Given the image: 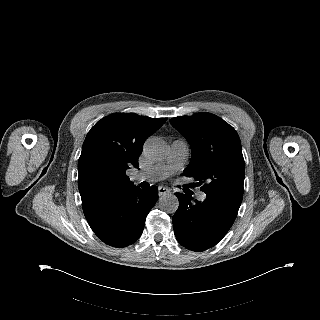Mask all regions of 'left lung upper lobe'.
<instances>
[{
    "label": "left lung upper lobe",
    "mask_w": 320,
    "mask_h": 320,
    "mask_svg": "<svg viewBox=\"0 0 320 320\" xmlns=\"http://www.w3.org/2000/svg\"><path fill=\"white\" fill-rule=\"evenodd\" d=\"M189 142L191 163L183 174L194 177L206 195L241 205L245 175L241 142L235 129L221 118L198 113L170 120Z\"/></svg>",
    "instance_id": "left-lung-upper-lobe-1"
}]
</instances>
